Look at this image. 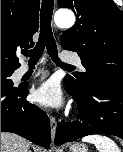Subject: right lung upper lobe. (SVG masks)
I'll use <instances>...</instances> for the list:
<instances>
[{
  "instance_id": "cb5924a9",
  "label": "right lung upper lobe",
  "mask_w": 123,
  "mask_h": 152,
  "mask_svg": "<svg viewBox=\"0 0 123 152\" xmlns=\"http://www.w3.org/2000/svg\"><path fill=\"white\" fill-rule=\"evenodd\" d=\"M39 5V0H1V68H19L16 50L34 45Z\"/></svg>"
}]
</instances>
